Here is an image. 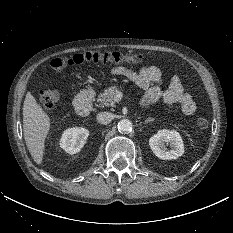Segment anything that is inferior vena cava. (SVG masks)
<instances>
[{"label": "inferior vena cava", "instance_id": "obj_1", "mask_svg": "<svg viewBox=\"0 0 233 233\" xmlns=\"http://www.w3.org/2000/svg\"><path fill=\"white\" fill-rule=\"evenodd\" d=\"M96 118L100 124L106 125L112 121L113 115L110 112H100L97 114Z\"/></svg>", "mask_w": 233, "mask_h": 233}]
</instances>
